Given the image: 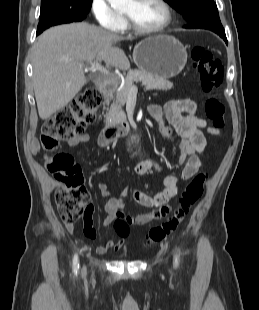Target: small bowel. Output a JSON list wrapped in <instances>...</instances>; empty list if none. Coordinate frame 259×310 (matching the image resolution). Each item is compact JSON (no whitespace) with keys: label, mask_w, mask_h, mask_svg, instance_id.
<instances>
[{"label":"small bowel","mask_w":259,"mask_h":310,"mask_svg":"<svg viewBox=\"0 0 259 310\" xmlns=\"http://www.w3.org/2000/svg\"><path fill=\"white\" fill-rule=\"evenodd\" d=\"M149 114L158 122L161 135L164 140L172 144L173 130L180 136L179 148L181 151L178 159V164L183 166L181 177L184 180L192 178L200 169L202 162L200 155L204 152L207 140L202 129H207L208 133L219 136V131L214 128L207 127L204 119L197 116V105L190 99H175L164 104L163 107L157 104L148 105ZM165 119L171 125L165 124ZM89 141L88 134L78 135L67 141L69 146L75 147L83 145ZM31 149L33 152L40 150V145L37 141H32ZM164 173V188L162 191L153 196L147 195L140 190H133V199L148 208L147 211L135 216H128L123 210V203L120 197H111L108 184L105 182L99 183V189L104 197H108L105 204L106 218L103 220L104 225H108L115 218L122 217L128 224L143 225L152 220L165 217L169 210L170 200L178 192L177 177L165 172L162 166L152 159H145L138 162L135 166L137 175H144L149 172ZM93 213L94 208L86 211L84 216V234L89 238L96 237V231L93 228ZM70 232H74L73 225H67ZM124 245L123 238H119L116 242L108 240L103 245L96 247V252L100 255L106 254L109 250H120Z\"/></svg>","instance_id":"c3829d8e"}]
</instances>
